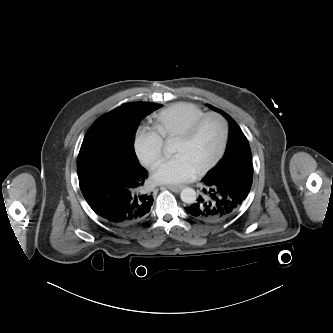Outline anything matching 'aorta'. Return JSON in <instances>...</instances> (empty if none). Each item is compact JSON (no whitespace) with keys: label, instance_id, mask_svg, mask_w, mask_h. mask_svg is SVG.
Wrapping results in <instances>:
<instances>
[{"label":"aorta","instance_id":"1","mask_svg":"<svg viewBox=\"0 0 333 333\" xmlns=\"http://www.w3.org/2000/svg\"><path fill=\"white\" fill-rule=\"evenodd\" d=\"M180 198L184 203H194L196 201V191L193 188H185L182 190Z\"/></svg>","mask_w":333,"mask_h":333}]
</instances>
